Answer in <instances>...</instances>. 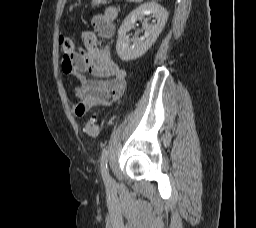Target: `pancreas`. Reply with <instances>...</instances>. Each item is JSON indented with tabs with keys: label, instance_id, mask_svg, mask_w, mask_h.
Returning a JSON list of instances; mask_svg holds the SVG:
<instances>
[{
	"label": "pancreas",
	"instance_id": "pancreas-1",
	"mask_svg": "<svg viewBox=\"0 0 256 228\" xmlns=\"http://www.w3.org/2000/svg\"><path fill=\"white\" fill-rule=\"evenodd\" d=\"M142 0H127V2H136V3H138V2H141Z\"/></svg>",
	"mask_w": 256,
	"mask_h": 228
}]
</instances>
